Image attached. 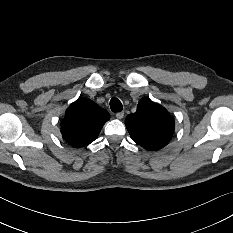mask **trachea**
Wrapping results in <instances>:
<instances>
[{
	"label": "trachea",
	"instance_id": "trachea-1",
	"mask_svg": "<svg viewBox=\"0 0 233 233\" xmlns=\"http://www.w3.org/2000/svg\"><path fill=\"white\" fill-rule=\"evenodd\" d=\"M110 108L113 112H120V111H122L123 106L118 98L113 97L110 100Z\"/></svg>",
	"mask_w": 233,
	"mask_h": 233
}]
</instances>
